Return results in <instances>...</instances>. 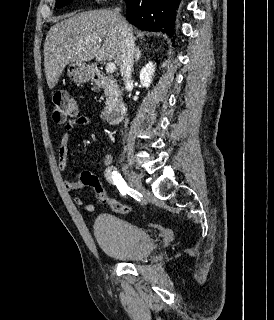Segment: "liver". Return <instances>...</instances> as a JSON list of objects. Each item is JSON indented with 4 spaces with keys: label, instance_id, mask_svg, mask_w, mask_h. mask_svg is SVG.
<instances>
[{
    "label": "liver",
    "instance_id": "1",
    "mask_svg": "<svg viewBox=\"0 0 274 320\" xmlns=\"http://www.w3.org/2000/svg\"><path fill=\"white\" fill-rule=\"evenodd\" d=\"M70 16L52 26L44 42V68L50 90L55 88L65 66L71 62L84 64L95 58L96 62L113 60L121 66L122 44L113 10H93Z\"/></svg>",
    "mask_w": 274,
    "mask_h": 320
}]
</instances>
